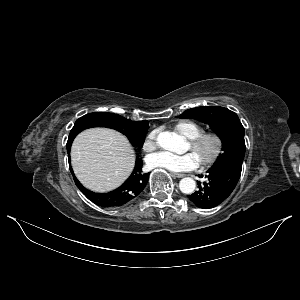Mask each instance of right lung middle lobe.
<instances>
[{"label":"right lung middle lobe","instance_id":"1","mask_svg":"<svg viewBox=\"0 0 300 300\" xmlns=\"http://www.w3.org/2000/svg\"><path fill=\"white\" fill-rule=\"evenodd\" d=\"M91 127H108L126 135L129 141L142 147L149 129L148 122L145 125H134L128 119L113 113L95 112L80 117L70 131L67 145L72 143L75 136L84 129Z\"/></svg>","mask_w":300,"mask_h":300}]
</instances>
